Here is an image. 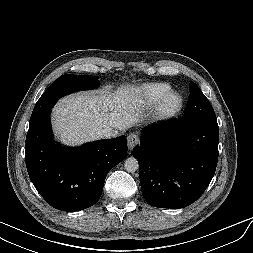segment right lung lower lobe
<instances>
[{
    "instance_id": "obj_1",
    "label": "right lung lower lobe",
    "mask_w": 253,
    "mask_h": 253,
    "mask_svg": "<svg viewBox=\"0 0 253 253\" xmlns=\"http://www.w3.org/2000/svg\"><path fill=\"white\" fill-rule=\"evenodd\" d=\"M51 110L29 122L26 167L37 191L52 207L80 211L100 198L111 168L127 155L126 137L65 148L53 140Z\"/></svg>"
}]
</instances>
